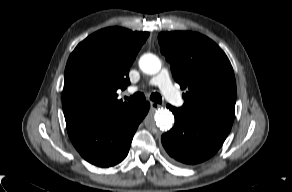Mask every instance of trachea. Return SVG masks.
<instances>
[{
    "mask_svg": "<svg viewBox=\"0 0 292 192\" xmlns=\"http://www.w3.org/2000/svg\"><path fill=\"white\" fill-rule=\"evenodd\" d=\"M125 99H127L131 103H139L145 101L146 98L143 93H135L133 96ZM150 99L156 103L162 102V97L159 93H152Z\"/></svg>",
    "mask_w": 292,
    "mask_h": 192,
    "instance_id": "trachea-1",
    "label": "trachea"
}]
</instances>
